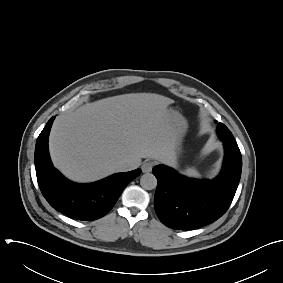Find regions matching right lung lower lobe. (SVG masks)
Segmentation results:
<instances>
[{
  "mask_svg": "<svg viewBox=\"0 0 283 283\" xmlns=\"http://www.w3.org/2000/svg\"><path fill=\"white\" fill-rule=\"evenodd\" d=\"M55 117L40 133L35 147V168L40 190L48 203L62 214L92 221L106 215L124 188L135 179L140 169L117 173L91 184H77L63 177L52 165L48 136Z\"/></svg>",
  "mask_w": 283,
  "mask_h": 283,
  "instance_id": "1",
  "label": "right lung lower lobe"
}]
</instances>
